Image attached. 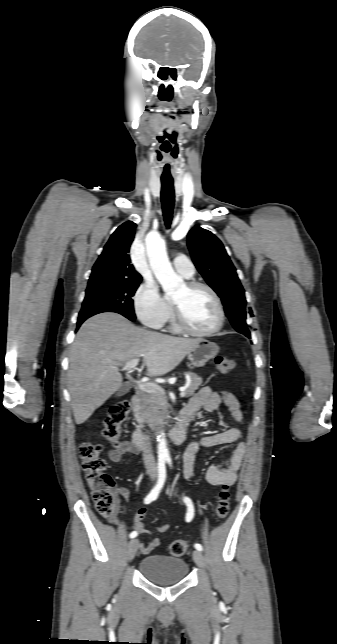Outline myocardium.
<instances>
[{"label":"myocardium","instance_id":"myocardium-1","mask_svg":"<svg viewBox=\"0 0 337 644\" xmlns=\"http://www.w3.org/2000/svg\"><path fill=\"white\" fill-rule=\"evenodd\" d=\"M186 287L190 291L198 289V288H203V289L207 290L211 294V296L213 297V299H214V301L216 303V306H217L218 320H217V323L215 324V326L213 328H211L210 330H207V331L193 330L187 324V322L185 321L180 306L172 301L171 302V312H172L173 322H174L176 328L178 330L182 331L183 333L188 334L190 336H194V337L205 338V337H211V336L215 335L216 333H218L223 328L224 323H225V317H226L224 305H223V302H222L220 296L218 295V293L216 292V290L213 287H211L210 285H208V284H206L204 282L189 281V282L186 283Z\"/></svg>","mask_w":337,"mask_h":644}]
</instances>
